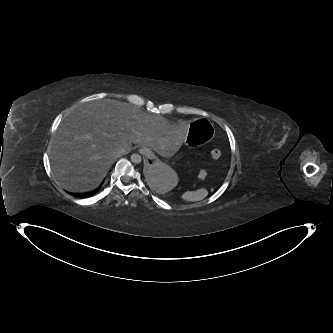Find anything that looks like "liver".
Listing matches in <instances>:
<instances>
[{
	"label": "liver",
	"instance_id": "6515ba94",
	"mask_svg": "<svg viewBox=\"0 0 333 333\" xmlns=\"http://www.w3.org/2000/svg\"><path fill=\"white\" fill-rule=\"evenodd\" d=\"M189 127L185 120L169 122L139 107L111 99L90 101L74 110L60 125L49 155L55 178L70 192L99 186L115 159L132 144L150 146L170 157L180 148Z\"/></svg>",
	"mask_w": 333,
	"mask_h": 333
}]
</instances>
